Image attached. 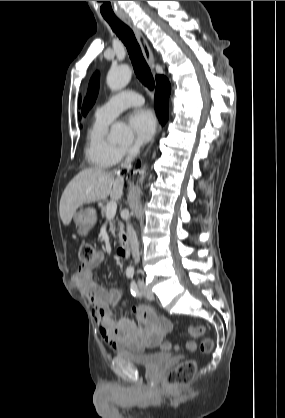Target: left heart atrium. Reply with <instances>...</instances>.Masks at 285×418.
<instances>
[{
  "label": "left heart atrium",
  "instance_id": "left-heart-atrium-1",
  "mask_svg": "<svg viewBox=\"0 0 285 418\" xmlns=\"http://www.w3.org/2000/svg\"><path fill=\"white\" fill-rule=\"evenodd\" d=\"M128 122L140 142L150 140L157 127L156 117L148 108L135 109L129 115Z\"/></svg>",
  "mask_w": 285,
  "mask_h": 418
}]
</instances>
